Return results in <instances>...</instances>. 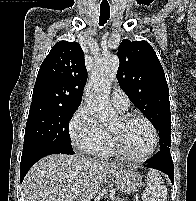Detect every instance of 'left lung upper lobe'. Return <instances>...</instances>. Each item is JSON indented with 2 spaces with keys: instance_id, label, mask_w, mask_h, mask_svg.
I'll return each mask as SVG.
<instances>
[{
  "instance_id": "1",
  "label": "left lung upper lobe",
  "mask_w": 196,
  "mask_h": 201,
  "mask_svg": "<svg viewBox=\"0 0 196 201\" xmlns=\"http://www.w3.org/2000/svg\"><path fill=\"white\" fill-rule=\"evenodd\" d=\"M117 79L132 103L151 121L160 149L171 146L169 89L160 61L146 41L123 40L117 53Z\"/></svg>"
}]
</instances>
